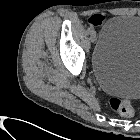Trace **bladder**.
Instances as JSON below:
<instances>
[{
  "mask_svg": "<svg viewBox=\"0 0 140 140\" xmlns=\"http://www.w3.org/2000/svg\"><path fill=\"white\" fill-rule=\"evenodd\" d=\"M91 67L104 91L124 98L140 97V16L117 15L104 24Z\"/></svg>",
  "mask_w": 140,
  "mask_h": 140,
  "instance_id": "obj_1",
  "label": "bladder"
}]
</instances>
